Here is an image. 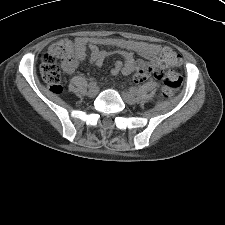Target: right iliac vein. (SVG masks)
<instances>
[{
	"mask_svg": "<svg viewBox=\"0 0 225 225\" xmlns=\"http://www.w3.org/2000/svg\"><path fill=\"white\" fill-rule=\"evenodd\" d=\"M98 91H99V88L97 87V85H93V86L89 87L87 95L89 97H95L97 95Z\"/></svg>",
	"mask_w": 225,
	"mask_h": 225,
	"instance_id": "63e3f726",
	"label": "right iliac vein"
}]
</instances>
